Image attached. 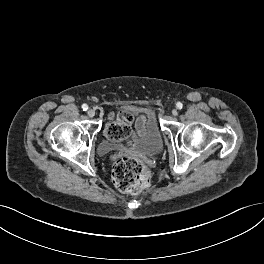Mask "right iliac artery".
<instances>
[{"instance_id":"82829eb1","label":"right iliac artery","mask_w":264,"mask_h":264,"mask_svg":"<svg viewBox=\"0 0 264 264\" xmlns=\"http://www.w3.org/2000/svg\"><path fill=\"white\" fill-rule=\"evenodd\" d=\"M82 109H83L84 111H86V110L88 109V105H87V104H83V105H82Z\"/></svg>"}]
</instances>
